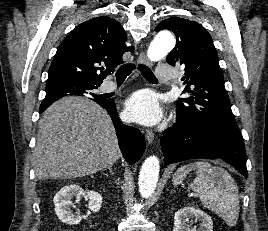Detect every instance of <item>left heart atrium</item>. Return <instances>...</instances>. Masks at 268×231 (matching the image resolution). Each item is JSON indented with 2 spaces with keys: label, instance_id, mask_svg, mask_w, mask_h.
Segmentation results:
<instances>
[{
  "label": "left heart atrium",
  "instance_id": "39dd6f15",
  "mask_svg": "<svg viewBox=\"0 0 268 231\" xmlns=\"http://www.w3.org/2000/svg\"><path fill=\"white\" fill-rule=\"evenodd\" d=\"M163 116L156 95L151 90L135 92L125 104V117L128 121L142 125H154Z\"/></svg>",
  "mask_w": 268,
  "mask_h": 231
}]
</instances>
